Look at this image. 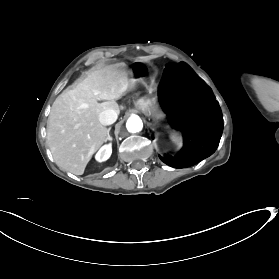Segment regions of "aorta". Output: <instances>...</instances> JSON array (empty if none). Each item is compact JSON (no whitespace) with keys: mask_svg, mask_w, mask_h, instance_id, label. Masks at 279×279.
Wrapping results in <instances>:
<instances>
[{"mask_svg":"<svg viewBox=\"0 0 279 279\" xmlns=\"http://www.w3.org/2000/svg\"><path fill=\"white\" fill-rule=\"evenodd\" d=\"M126 128L130 133L140 132L143 128L142 120L138 116H132L127 120Z\"/></svg>","mask_w":279,"mask_h":279,"instance_id":"1","label":"aorta"}]
</instances>
